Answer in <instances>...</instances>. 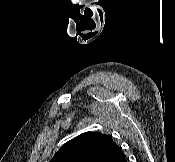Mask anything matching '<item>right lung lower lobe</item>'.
Listing matches in <instances>:
<instances>
[{
    "label": "right lung lower lobe",
    "instance_id": "1",
    "mask_svg": "<svg viewBox=\"0 0 175 162\" xmlns=\"http://www.w3.org/2000/svg\"><path fill=\"white\" fill-rule=\"evenodd\" d=\"M120 162H127V161L125 160V158H123V160H121Z\"/></svg>",
    "mask_w": 175,
    "mask_h": 162
}]
</instances>
